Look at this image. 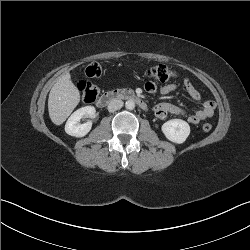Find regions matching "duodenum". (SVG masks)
<instances>
[{
	"label": "duodenum",
	"instance_id": "duodenum-1",
	"mask_svg": "<svg viewBox=\"0 0 250 250\" xmlns=\"http://www.w3.org/2000/svg\"><path fill=\"white\" fill-rule=\"evenodd\" d=\"M128 100L135 102L139 107L147 110L148 106L145 101L135 92L127 89H118L103 93L97 100L98 107H106L115 100Z\"/></svg>",
	"mask_w": 250,
	"mask_h": 250
}]
</instances>
